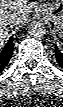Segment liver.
Segmentation results:
<instances>
[{"label": "liver", "mask_w": 63, "mask_h": 107, "mask_svg": "<svg viewBox=\"0 0 63 107\" xmlns=\"http://www.w3.org/2000/svg\"><path fill=\"white\" fill-rule=\"evenodd\" d=\"M31 12L30 5L27 0H0V44L6 40L10 27L1 24V19H5L11 15L17 18L15 25L24 23Z\"/></svg>", "instance_id": "1"}]
</instances>
